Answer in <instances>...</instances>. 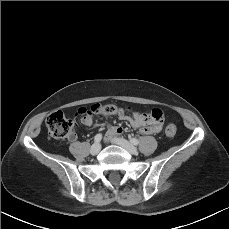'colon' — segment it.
<instances>
[{
    "label": "colon",
    "mask_w": 229,
    "mask_h": 229,
    "mask_svg": "<svg viewBox=\"0 0 229 229\" xmlns=\"http://www.w3.org/2000/svg\"><path fill=\"white\" fill-rule=\"evenodd\" d=\"M129 109V108H128ZM122 109L115 104H93L89 107L79 109V114H98V115H113ZM146 121L160 126L164 121V114L160 109H153L147 113ZM46 126L49 135L54 139H64L68 137L73 130V122L69 120L62 111L52 112L46 119ZM176 133V127L169 125L165 129V134L168 137H173Z\"/></svg>",
    "instance_id": "1"
}]
</instances>
